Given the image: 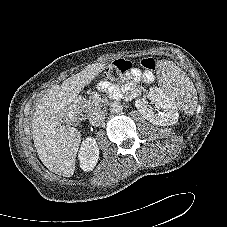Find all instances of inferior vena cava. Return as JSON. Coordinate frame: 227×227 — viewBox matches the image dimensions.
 <instances>
[{
  "label": "inferior vena cava",
  "instance_id": "602c4592",
  "mask_svg": "<svg viewBox=\"0 0 227 227\" xmlns=\"http://www.w3.org/2000/svg\"><path fill=\"white\" fill-rule=\"evenodd\" d=\"M105 120V113L101 110L94 111L90 117L89 122L92 126L98 127L100 126Z\"/></svg>",
  "mask_w": 227,
  "mask_h": 227
}]
</instances>
